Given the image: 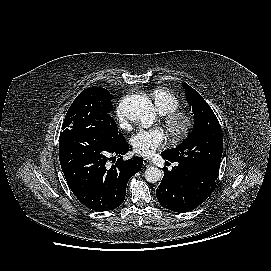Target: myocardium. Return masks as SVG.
I'll list each match as a JSON object with an SVG mask.
<instances>
[{
  "label": "myocardium",
  "mask_w": 271,
  "mask_h": 271,
  "mask_svg": "<svg viewBox=\"0 0 271 271\" xmlns=\"http://www.w3.org/2000/svg\"><path fill=\"white\" fill-rule=\"evenodd\" d=\"M164 122L170 136L177 141L187 138L195 127L194 118L183 112L165 114Z\"/></svg>",
  "instance_id": "1"
}]
</instances>
